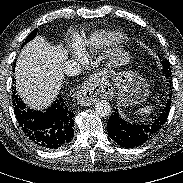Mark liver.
Listing matches in <instances>:
<instances>
[{"label":"liver","mask_w":183,"mask_h":183,"mask_svg":"<svg viewBox=\"0 0 183 183\" xmlns=\"http://www.w3.org/2000/svg\"><path fill=\"white\" fill-rule=\"evenodd\" d=\"M65 59L62 47L51 46L42 36L22 49L15 68L16 89L29 107L42 109L52 102L62 84Z\"/></svg>","instance_id":"liver-1"}]
</instances>
